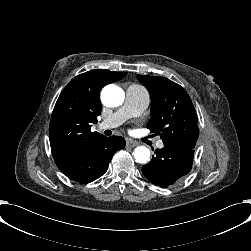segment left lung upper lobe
Returning <instances> with one entry per match:
<instances>
[{
	"mask_svg": "<svg viewBox=\"0 0 251 251\" xmlns=\"http://www.w3.org/2000/svg\"><path fill=\"white\" fill-rule=\"evenodd\" d=\"M137 79L151 96V119L146 127L160 135L165 147L194 149L198 118L185 89L165 77L137 75Z\"/></svg>",
	"mask_w": 251,
	"mask_h": 251,
	"instance_id": "5c2ea615",
	"label": "left lung upper lobe"
}]
</instances>
